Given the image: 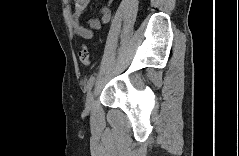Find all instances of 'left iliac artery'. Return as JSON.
Returning <instances> with one entry per match:
<instances>
[{
    "label": "left iliac artery",
    "mask_w": 239,
    "mask_h": 156,
    "mask_svg": "<svg viewBox=\"0 0 239 156\" xmlns=\"http://www.w3.org/2000/svg\"><path fill=\"white\" fill-rule=\"evenodd\" d=\"M95 75L94 76H91L90 78H89V80L87 81V84H86V90L87 91H90L91 90V88H92V86H93V84H94V81H95Z\"/></svg>",
    "instance_id": "left-iliac-artery-1"
}]
</instances>
